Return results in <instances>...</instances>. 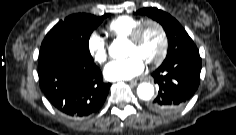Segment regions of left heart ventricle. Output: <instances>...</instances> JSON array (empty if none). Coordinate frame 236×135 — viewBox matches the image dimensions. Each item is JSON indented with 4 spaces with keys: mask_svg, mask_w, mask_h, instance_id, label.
Returning <instances> with one entry per match:
<instances>
[{
    "mask_svg": "<svg viewBox=\"0 0 236 135\" xmlns=\"http://www.w3.org/2000/svg\"><path fill=\"white\" fill-rule=\"evenodd\" d=\"M161 47V36L156 27L148 25L141 36L137 45L128 42L127 55H139L145 62L154 59Z\"/></svg>",
    "mask_w": 236,
    "mask_h": 135,
    "instance_id": "b2bd125f",
    "label": "left heart ventricle"
}]
</instances>
